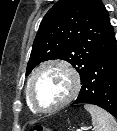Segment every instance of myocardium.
<instances>
[{"instance_id":"1","label":"myocardium","mask_w":117,"mask_h":131,"mask_svg":"<svg viewBox=\"0 0 117 131\" xmlns=\"http://www.w3.org/2000/svg\"><path fill=\"white\" fill-rule=\"evenodd\" d=\"M52 67L61 68L69 75L71 79V89H70L69 94L60 103H58L54 107L44 109V108H41L37 104L33 96L32 87H33V83L37 75L42 70L47 69V68H52ZM80 87H81V80H80L79 73L68 63L64 61H60V60H53V61H47V62L42 63L33 71L32 75L30 76L28 80L26 89H27V96H28V99H29V102L32 108L37 113L48 114V113L56 112L60 110L61 108L65 107L67 104H69L77 96L80 90Z\"/></svg>"}]
</instances>
